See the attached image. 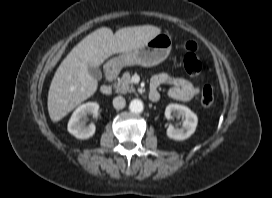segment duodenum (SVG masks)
<instances>
[{
	"label": "duodenum",
	"instance_id": "obj_1",
	"mask_svg": "<svg viewBox=\"0 0 272 198\" xmlns=\"http://www.w3.org/2000/svg\"><path fill=\"white\" fill-rule=\"evenodd\" d=\"M119 70L113 66L107 68L106 70V77L108 80V83L102 85L100 87V93L103 95H110L112 93V82L118 77ZM159 93L157 90L150 89L149 91V98L152 101L158 100Z\"/></svg>",
	"mask_w": 272,
	"mask_h": 198
}]
</instances>
